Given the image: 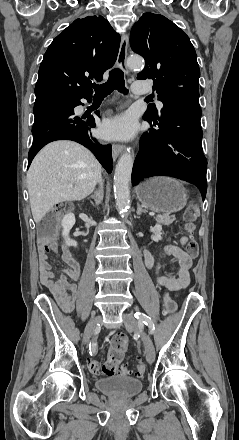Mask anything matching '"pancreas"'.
I'll list each match as a JSON object with an SVG mask.
<instances>
[{"label": "pancreas", "mask_w": 239, "mask_h": 440, "mask_svg": "<svg viewBox=\"0 0 239 440\" xmlns=\"http://www.w3.org/2000/svg\"><path fill=\"white\" fill-rule=\"evenodd\" d=\"M157 224H163V226H169V224H173L174 220H176L175 216H156L155 218Z\"/></svg>", "instance_id": "pancreas-1"}]
</instances>
